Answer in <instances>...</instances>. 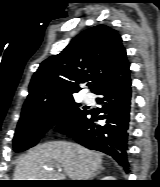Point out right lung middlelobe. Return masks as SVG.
Segmentation results:
<instances>
[{
    "instance_id": "1",
    "label": "right lung middle lobe",
    "mask_w": 160,
    "mask_h": 187,
    "mask_svg": "<svg viewBox=\"0 0 160 187\" xmlns=\"http://www.w3.org/2000/svg\"><path fill=\"white\" fill-rule=\"evenodd\" d=\"M88 113L87 107L74 99L40 111L22 113L13 139L14 150L21 152L35 146L55 124L60 132L69 134Z\"/></svg>"
}]
</instances>
